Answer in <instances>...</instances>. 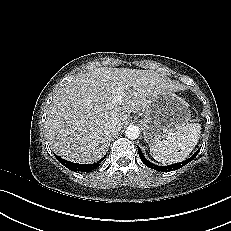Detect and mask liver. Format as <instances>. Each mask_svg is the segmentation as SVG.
I'll use <instances>...</instances> for the list:
<instances>
[{"mask_svg":"<svg viewBox=\"0 0 231 231\" xmlns=\"http://www.w3.org/2000/svg\"><path fill=\"white\" fill-rule=\"evenodd\" d=\"M181 89L153 70L101 67L83 73L56 93L45 122L48 141L66 160L93 163L105 154L107 125L122 128L131 112H144L161 92ZM119 90L122 101L113 104Z\"/></svg>","mask_w":231,"mask_h":231,"instance_id":"liver-1","label":"liver"}]
</instances>
